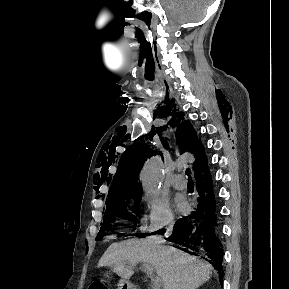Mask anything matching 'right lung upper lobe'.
<instances>
[{
	"mask_svg": "<svg viewBox=\"0 0 289 289\" xmlns=\"http://www.w3.org/2000/svg\"><path fill=\"white\" fill-rule=\"evenodd\" d=\"M177 124H180L177 128V144L181 152L188 151L194 155L193 171L195 178H198L209 171L203 145L199 142L189 120L184 121L183 116H181ZM148 155L151 157L153 151L145 143H134L127 148L120 159L114 182L109 190L106 205L142 194L137 177Z\"/></svg>",
	"mask_w": 289,
	"mask_h": 289,
	"instance_id": "right-lung-upper-lobe-1",
	"label": "right lung upper lobe"
}]
</instances>
